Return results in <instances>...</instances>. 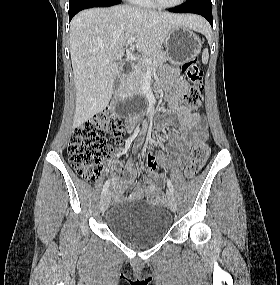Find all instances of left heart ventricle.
Returning a JSON list of instances; mask_svg holds the SVG:
<instances>
[{"mask_svg": "<svg viewBox=\"0 0 280 285\" xmlns=\"http://www.w3.org/2000/svg\"><path fill=\"white\" fill-rule=\"evenodd\" d=\"M160 1L164 4H172V3L177 2L178 0H160Z\"/></svg>", "mask_w": 280, "mask_h": 285, "instance_id": "b2bd125f", "label": "left heart ventricle"}]
</instances>
